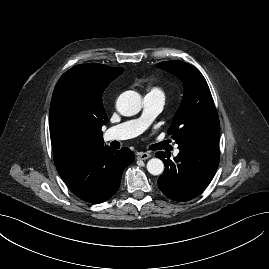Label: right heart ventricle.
I'll list each match as a JSON object with an SVG mask.
<instances>
[{"mask_svg":"<svg viewBox=\"0 0 269 269\" xmlns=\"http://www.w3.org/2000/svg\"><path fill=\"white\" fill-rule=\"evenodd\" d=\"M153 92H160V93H162L161 90L158 87H151L149 93H153Z\"/></svg>","mask_w":269,"mask_h":269,"instance_id":"right-heart-ventricle-1","label":"right heart ventricle"}]
</instances>
